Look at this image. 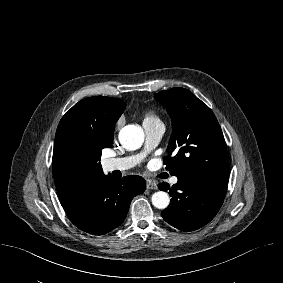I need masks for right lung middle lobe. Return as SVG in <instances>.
<instances>
[{
  "label": "right lung middle lobe",
  "instance_id": "1",
  "mask_svg": "<svg viewBox=\"0 0 283 283\" xmlns=\"http://www.w3.org/2000/svg\"><path fill=\"white\" fill-rule=\"evenodd\" d=\"M81 144H84V139H81ZM109 147H110V145H109V146H103V145L97 143V144L95 145V148H94V155H95V157H96L98 160H100V158H101V153H102V149H103V148H109Z\"/></svg>",
  "mask_w": 283,
  "mask_h": 283
}]
</instances>
